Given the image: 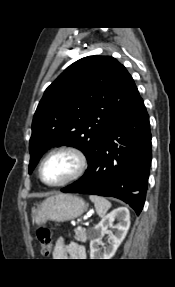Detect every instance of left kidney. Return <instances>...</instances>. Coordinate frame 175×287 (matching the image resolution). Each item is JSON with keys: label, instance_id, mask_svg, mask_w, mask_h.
Returning <instances> with one entry per match:
<instances>
[{"label": "left kidney", "instance_id": "1", "mask_svg": "<svg viewBox=\"0 0 175 287\" xmlns=\"http://www.w3.org/2000/svg\"><path fill=\"white\" fill-rule=\"evenodd\" d=\"M115 219L119 221V223L115 226L116 232L115 234H110L109 245L103 247V250H101L99 246L101 244L102 236L107 232V228L113 225ZM129 227L130 214L127 208H116L103 217L102 220L94 227L92 232V240L90 241L91 259H111L124 240Z\"/></svg>", "mask_w": 175, "mask_h": 287}]
</instances>
